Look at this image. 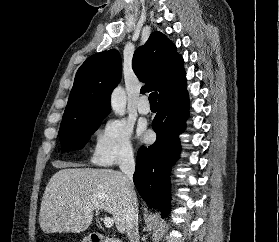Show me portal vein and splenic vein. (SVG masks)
Here are the masks:
<instances>
[{"mask_svg":"<svg viewBox=\"0 0 279 242\" xmlns=\"http://www.w3.org/2000/svg\"><path fill=\"white\" fill-rule=\"evenodd\" d=\"M103 223H104L105 227L111 228L114 224V220L110 217L105 216L103 218Z\"/></svg>","mask_w":279,"mask_h":242,"instance_id":"18ae733b","label":"portal vein and splenic vein"}]
</instances>
